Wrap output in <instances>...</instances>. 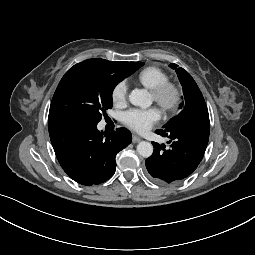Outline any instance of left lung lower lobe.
Segmentation results:
<instances>
[{
    "mask_svg": "<svg viewBox=\"0 0 255 255\" xmlns=\"http://www.w3.org/2000/svg\"><path fill=\"white\" fill-rule=\"evenodd\" d=\"M210 122L205 101L182 110L175 120L163 129L156 130L170 138L165 145L154 146L153 154L146 159L149 174L159 182L177 183L189 177L201 162L209 139Z\"/></svg>",
    "mask_w": 255,
    "mask_h": 255,
    "instance_id": "left-lung-lower-lobe-1",
    "label": "left lung lower lobe"
}]
</instances>
